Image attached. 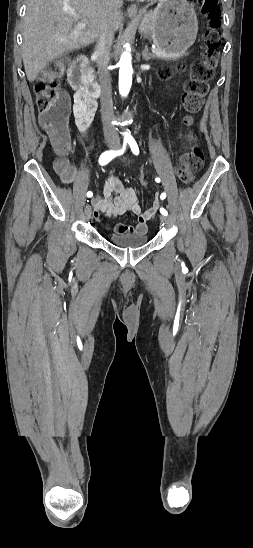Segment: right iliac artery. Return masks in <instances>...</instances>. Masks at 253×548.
I'll return each instance as SVG.
<instances>
[{
    "label": "right iliac artery",
    "mask_w": 253,
    "mask_h": 548,
    "mask_svg": "<svg viewBox=\"0 0 253 548\" xmlns=\"http://www.w3.org/2000/svg\"><path fill=\"white\" fill-rule=\"evenodd\" d=\"M126 149V142L123 144L122 149L120 150H109L101 154L99 158V164L104 166L108 164L114 157L122 155ZM93 193L91 191L87 192V197H92Z\"/></svg>",
    "instance_id": "right-iliac-artery-1"
}]
</instances>
